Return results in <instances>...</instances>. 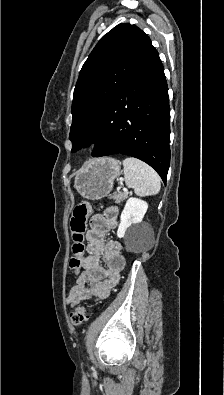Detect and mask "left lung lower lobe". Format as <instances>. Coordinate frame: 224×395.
Returning <instances> with one entry per match:
<instances>
[{
	"mask_svg": "<svg viewBox=\"0 0 224 395\" xmlns=\"http://www.w3.org/2000/svg\"><path fill=\"white\" fill-rule=\"evenodd\" d=\"M170 108L164 68L156 50L108 106L93 142V157L124 154L152 166L166 183L170 165Z\"/></svg>",
	"mask_w": 224,
	"mask_h": 395,
	"instance_id": "1",
	"label": "left lung lower lobe"
}]
</instances>
